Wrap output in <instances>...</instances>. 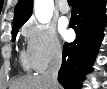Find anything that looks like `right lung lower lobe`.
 <instances>
[{
	"instance_id": "right-lung-lower-lobe-1",
	"label": "right lung lower lobe",
	"mask_w": 107,
	"mask_h": 89,
	"mask_svg": "<svg viewBox=\"0 0 107 89\" xmlns=\"http://www.w3.org/2000/svg\"><path fill=\"white\" fill-rule=\"evenodd\" d=\"M105 7V0H73L70 26L77 38L64 44L63 62L58 73V81L65 89H80L84 74L92 70L104 36Z\"/></svg>"
}]
</instances>
